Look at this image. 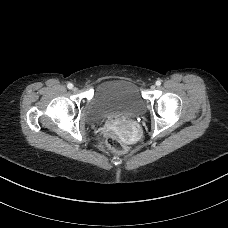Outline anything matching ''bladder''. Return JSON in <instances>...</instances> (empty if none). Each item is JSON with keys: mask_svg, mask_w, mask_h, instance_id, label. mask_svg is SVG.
Here are the masks:
<instances>
[{"mask_svg": "<svg viewBox=\"0 0 228 228\" xmlns=\"http://www.w3.org/2000/svg\"><path fill=\"white\" fill-rule=\"evenodd\" d=\"M145 108L139 87L131 80L116 79L101 83L95 90L88 112L97 121L115 116L138 115Z\"/></svg>", "mask_w": 228, "mask_h": 228, "instance_id": "1", "label": "bladder"}]
</instances>
